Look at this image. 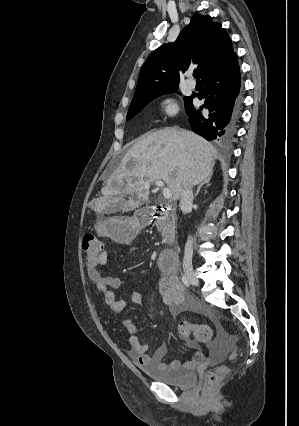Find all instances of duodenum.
<instances>
[{
  "label": "duodenum",
  "instance_id": "410a0bca",
  "mask_svg": "<svg viewBox=\"0 0 299 426\" xmlns=\"http://www.w3.org/2000/svg\"><path fill=\"white\" fill-rule=\"evenodd\" d=\"M159 206H153L150 208L148 215L152 216L156 213ZM178 265V255L175 249H167L163 251L158 258V266L161 271L166 273L175 272Z\"/></svg>",
  "mask_w": 299,
  "mask_h": 426
}]
</instances>
